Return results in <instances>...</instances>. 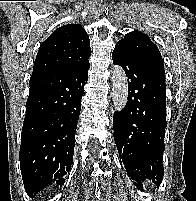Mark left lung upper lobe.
Segmentation results:
<instances>
[{
    "mask_svg": "<svg viewBox=\"0 0 196 201\" xmlns=\"http://www.w3.org/2000/svg\"><path fill=\"white\" fill-rule=\"evenodd\" d=\"M117 45L138 62L165 73L162 56L157 46L144 33L139 31L127 33Z\"/></svg>",
    "mask_w": 196,
    "mask_h": 201,
    "instance_id": "1",
    "label": "left lung upper lobe"
}]
</instances>
